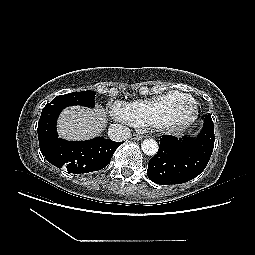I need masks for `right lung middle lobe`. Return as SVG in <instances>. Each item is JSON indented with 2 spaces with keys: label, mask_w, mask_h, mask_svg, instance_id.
Segmentation results:
<instances>
[{
  "label": "right lung middle lobe",
  "mask_w": 255,
  "mask_h": 255,
  "mask_svg": "<svg viewBox=\"0 0 255 255\" xmlns=\"http://www.w3.org/2000/svg\"><path fill=\"white\" fill-rule=\"evenodd\" d=\"M94 103L95 92L90 90L59 95L43 108L38 129L47 132L53 130L60 112L65 107L81 105L93 108Z\"/></svg>",
  "instance_id": "obj_1"
}]
</instances>
